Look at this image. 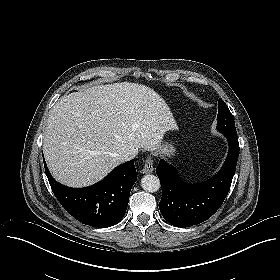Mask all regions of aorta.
Here are the masks:
<instances>
[{"mask_svg": "<svg viewBox=\"0 0 280 280\" xmlns=\"http://www.w3.org/2000/svg\"><path fill=\"white\" fill-rule=\"evenodd\" d=\"M141 187L147 192L154 193L158 191L160 188V180L155 175H151V174L145 175L141 179Z\"/></svg>", "mask_w": 280, "mask_h": 280, "instance_id": "1", "label": "aorta"}]
</instances>
